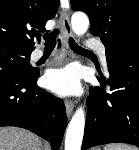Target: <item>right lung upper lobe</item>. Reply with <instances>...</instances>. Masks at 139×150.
<instances>
[{
    "label": "right lung upper lobe",
    "instance_id": "right-lung-upper-lobe-1",
    "mask_svg": "<svg viewBox=\"0 0 139 150\" xmlns=\"http://www.w3.org/2000/svg\"><path fill=\"white\" fill-rule=\"evenodd\" d=\"M58 3L59 0H0V45L32 52L35 33L46 31L45 24L56 14Z\"/></svg>",
    "mask_w": 139,
    "mask_h": 150
}]
</instances>
